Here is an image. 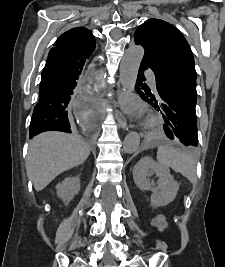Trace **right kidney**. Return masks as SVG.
<instances>
[{
	"instance_id": "ca27d5eb",
	"label": "right kidney",
	"mask_w": 225,
	"mask_h": 267,
	"mask_svg": "<svg viewBox=\"0 0 225 267\" xmlns=\"http://www.w3.org/2000/svg\"><path fill=\"white\" fill-rule=\"evenodd\" d=\"M57 195L65 204H68L80 191V179L78 177L65 178L62 183L57 184Z\"/></svg>"
}]
</instances>
